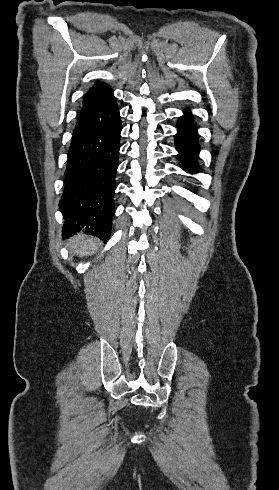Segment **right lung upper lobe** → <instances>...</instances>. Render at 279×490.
Wrapping results in <instances>:
<instances>
[{"instance_id": "cb5924a9", "label": "right lung upper lobe", "mask_w": 279, "mask_h": 490, "mask_svg": "<svg viewBox=\"0 0 279 490\" xmlns=\"http://www.w3.org/2000/svg\"><path fill=\"white\" fill-rule=\"evenodd\" d=\"M119 111L112 89L97 82L84 96L72 141L97 134L119 121Z\"/></svg>"}]
</instances>
